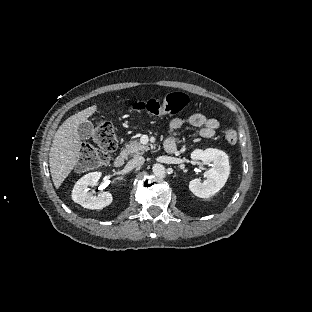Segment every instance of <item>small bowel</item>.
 Returning a JSON list of instances; mask_svg holds the SVG:
<instances>
[{
	"mask_svg": "<svg viewBox=\"0 0 312 312\" xmlns=\"http://www.w3.org/2000/svg\"><path fill=\"white\" fill-rule=\"evenodd\" d=\"M185 126L200 127V135L204 138H211L219 128L220 123L217 119L200 113L174 117L169 121V136L166 142L175 144L178 131Z\"/></svg>",
	"mask_w": 312,
	"mask_h": 312,
	"instance_id": "obj_1",
	"label": "small bowel"
}]
</instances>
